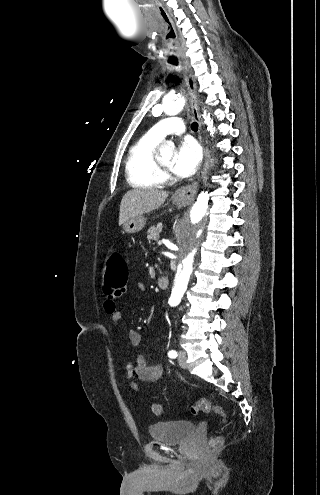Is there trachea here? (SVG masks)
I'll return each mask as SVG.
<instances>
[{"label":"trachea","instance_id":"trachea-1","mask_svg":"<svg viewBox=\"0 0 320 495\" xmlns=\"http://www.w3.org/2000/svg\"><path fill=\"white\" fill-rule=\"evenodd\" d=\"M172 63H173V64H175V65H178V62H177V61H172ZM191 129H192L193 131H197V130H198V123L193 122V123L191 124Z\"/></svg>","mask_w":320,"mask_h":495}]
</instances>
